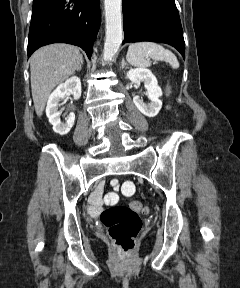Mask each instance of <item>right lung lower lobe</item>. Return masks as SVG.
Segmentation results:
<instances>
[{"instance_id":"obj_1","label":"right lung lower lobe","mask_w":240,"mask_h":288,"mask_svg":"<svg viewBox=\"0 0 240 288\" xmlns=\"http://www.w3.org/2000/svg\"><path fill=\"white\" fill-rule=\"evenodd\" d=\"M99 26V0H34L28 57L41 46L69 43L81 47L90 59Z\"/></svg>"}]
</instances>
